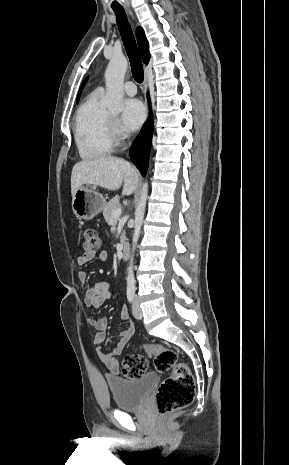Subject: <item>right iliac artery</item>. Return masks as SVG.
<instances>
[{"label":"right iliac artery","instance_id":"1","mask_svg":"<svg viewBox=\"0 0 289 465\" xmlns=\"http://www.w3.org/2000/svg\"><path fill=\"white\" fill-rule=\"evenodd\" d=\"M127 299L130 303L134 301V293L133 292H128L127 293Z\"/></svg>","mask_w":289,"mask_h":465}]
</instances>
